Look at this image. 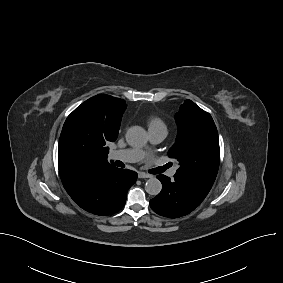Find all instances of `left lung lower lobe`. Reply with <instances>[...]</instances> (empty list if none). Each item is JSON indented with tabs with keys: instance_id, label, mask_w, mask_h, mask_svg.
<instances>
[{
	"instance_id": "0a47b994",
	"label": "left lung lower lobe",
	"mask_w": 283,
	"mask_h": 283,
	"mask_svg": "<svg viewBox=\"0 0 283 283\" xmlns=\"http://www.w3.org/2000/svg\"><path fill=\"white\" fill-rule=\"evenodd\" d=\"M157 178L162 183V191L150 200V206L161 216L178 218L187 215L207 196L194 184L176 175L173 180L165 175Z\"/></svg>"
}]
</instances>
